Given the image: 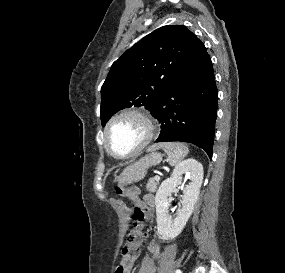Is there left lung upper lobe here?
Returning <instances> with one entry per match:
<instances>
[{
	"mask_svg": "<svg viewBox=\"0 0 285 273\" xmlns=\"http://www.w3.org/2000/svg\"><path fill=\"white\" fill-rule=\"evenodd\" d=\"M193 33L183 25L163 26L128 49L112 66L101 88V122L131 106L152 113L177 76Z\"/></svg>",
	"mask_w": 285,
	"mask_h": 273,
	"instance_id": "obj_1",
	"label": "left lung upper lobe"
}]
</instances>
